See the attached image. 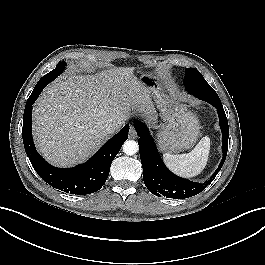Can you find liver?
<instances>
[{
    "mask_svg": "<svg viewBox=\"0 0 265 265\" xmlns=\"http://www.w3.org/2000/svg\"><path fill=\"white\" fill-rule=\"evenodd\" d=\"M133 112L154 121L152 100L133 68H112L95 75L66 76L49 85L33 110L37 149L52 165L86 161Z\"/></svg>",
    "mask_w": 265,
    "mask_h": 265,
    "instance_id": "obj_1",
    "label": "liver"
}]
</instances>
